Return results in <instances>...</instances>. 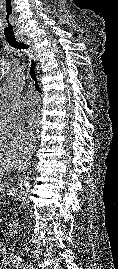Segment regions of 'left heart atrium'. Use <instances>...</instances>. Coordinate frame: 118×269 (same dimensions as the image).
Returning <instances> with one entry per match:
<instances>
[{"label":"left heart atrium","instance_id":"1","mask_svg":"<svg viewBox=\"0 0 118 269\" xmlns=\"http://www.w3.org/2000/svg\"><path fill=\"white\" fill-rule=\"evenodd\" d=\"M28 120L31 125H34L38 121V115L35 110L30 111L28 114Z\"/></svg>","mask_w":118,"mask_h":269}]
</instances>
